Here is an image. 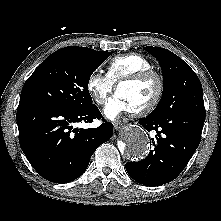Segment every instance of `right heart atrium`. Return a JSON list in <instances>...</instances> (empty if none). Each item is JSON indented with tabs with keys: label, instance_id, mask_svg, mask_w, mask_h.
<instances>
[{
	"label": "right heart atrium",
	"instance_id": "right-heart-atrium-1",
	"mask_svg": "<svg viewBox=\"0 0 221 221\" xmlns=\"http://www.w3.org/2000/svg\"><path fill=\"white\" fill-rule=\"evenodd\" d=\"M115 84L108 77L100 71L92 72L86 83V88L90 96L97 104L103 105L106 103L108 96L113 92Z\"/></svg>",
	"mask_w": 221,
	"mask_h": 221
}]
</instances>
